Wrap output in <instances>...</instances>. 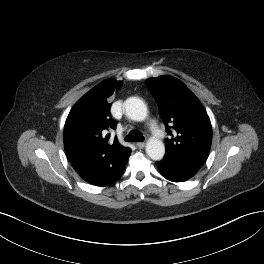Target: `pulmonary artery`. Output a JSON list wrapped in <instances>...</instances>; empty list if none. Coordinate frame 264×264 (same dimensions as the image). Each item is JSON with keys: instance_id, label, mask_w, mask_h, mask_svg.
Instances as JSON below:
<instances>
[{"instance_id": "1", "label": "pulmonary artery", "mask_w": 264, "mask_h": 264, "mask_svg": "<svg viewBox=\"0 0 264 264\" xmlns=\"http://www.w3.org/2000/svg\"><path fill=\"white\" fill-rule=\"evenodd\" d=\"M151 128L155 131L156 130V123L153 121L152 123H151Z\"/></svg>"}]
</instances>
